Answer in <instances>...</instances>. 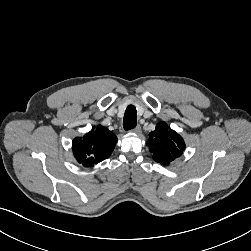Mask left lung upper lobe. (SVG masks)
I'll list each match as a JSON object with an SVG mask.
<instances>
[{
    "instance_id": "left-lung-upper-lobe-1",
    "label": "left lung upper lobe",
    "mask_w": 251,
    "mask_h": 251,
    "mask_svg": "<svg viewBox=\"0 0 251 251\" xmlns=\"http://www.w3.org/2000/svg\"><path fill=\"white\" fill-rule=\"evenodd\" d=\"M147 146L153 154V159L163 165H168L181 156L185 149L182 137L174 130L168 129L165 122H159L149 134Z\"/></svg>"
}]
</instances>
